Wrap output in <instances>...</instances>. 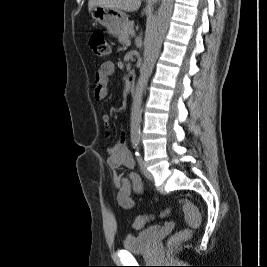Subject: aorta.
Listing matches in <instances>:
<instances>
[{
	"mask_svg": "<svg viewBox=\"0 0 267 267\" xmlns=\"http://www.w3.org/2000/svg\"><path fill=\"white\" fill-rule=\"evenodd\" d=\"M173 5L174 0H162L153 27L146 38L143 64L140 68V76L135 86L130 115L131 138L135 141H138L141 135V105L144 89L159 56L162 43L169 26Z\"/></svg>",
	"mask_w": 267,
	"mask_h": 267,
	"instance_id": "762f6f07",
	"label": "aorta"
}]
</instances>
